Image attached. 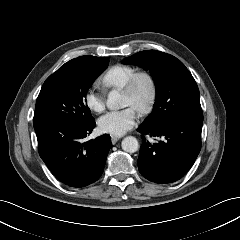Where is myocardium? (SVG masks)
Here are the masks:
<instances>
[{
  "instance_id": "f54148a6",
  "label": "myocardium",
  "mask_w": 240,
  "mask_h": 240,
  "mask_svg": "<svg viewBox=\"0 0 240 240\" xmlns=\"http://www.w3.org/2000/svg\"><path fill=\"white\" fill-rule=\"evenodd\" d=\"M141 80H145L147 82L149 91L146 101L138 109L137 112L140 115H146L151 111L156 98L157 86L154 76L149 71L137 70L131 74V76L128 78L127 82L121 90L122 93L132 95L135 93L137 86Z\"/></svg>"
}]
</instances>
